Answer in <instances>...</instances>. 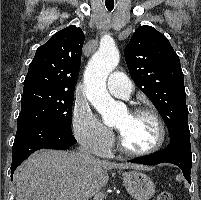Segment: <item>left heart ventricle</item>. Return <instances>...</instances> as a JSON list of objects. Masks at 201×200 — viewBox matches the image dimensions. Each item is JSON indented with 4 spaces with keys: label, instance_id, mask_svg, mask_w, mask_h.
<instances>
[{
    "label": "left heart ventricle",
    "instance_id": "b2bd125f",
    "mask_svg": "<svg viewBox=\"0 0 201 200\" xmlns=\"http://www.w3.org/2000/svg\"><path fill=\"white\" fill-rule=\"evenodd\" d=\"M115 128L120 131L126 144L134 150H145L154 146L159 139V128L148 115L131 116L124 113L116 122Z\"/></svg>",
    "mask_w": 201,
    "mask_h": 200
}]
</instances>
